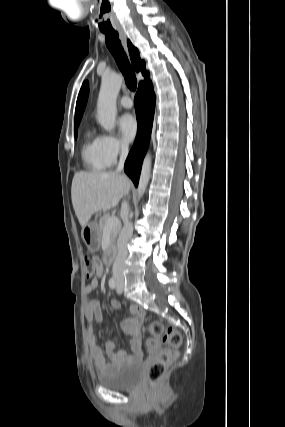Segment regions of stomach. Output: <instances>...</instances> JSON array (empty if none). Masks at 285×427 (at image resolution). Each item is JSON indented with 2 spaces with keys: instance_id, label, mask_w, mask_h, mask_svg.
Wrapping results in <instances>:
<instances>
[{
  "instance_id": "stomach-1",
  "label": "stomach",
  "mask_w": 285,
  "mask_h": 427,
  "mask_svg": "<svg viewBox=\"0 0 285 427\" xmlns=\"http://www.w3.org/2000/svg\"><path fill=\"white\" fill-rule=\"evenodd\" d=\"M82 238L90 250L99 248L101 236L96 222L89 223L82 229Z\"/></svg>"
}]
</instances>
